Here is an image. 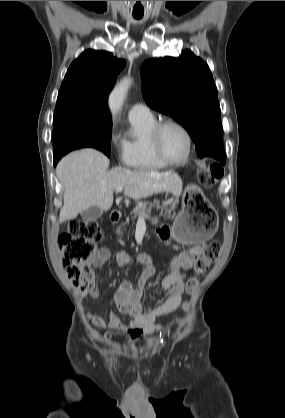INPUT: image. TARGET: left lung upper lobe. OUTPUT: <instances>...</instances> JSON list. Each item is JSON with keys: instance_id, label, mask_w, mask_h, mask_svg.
I'll return each instance as SVG.
<instances>
[{"instance_id": "left-lung-upper-lobe-1", "label": "left lung upper lobe", "mask_w": 285, "mask_h": 418, "mask_svg": "<svg viewBox=\"0 0 285 418\" xmlns=\"http://www.w3.org/2000/svg\"><path fill=\"white\" fill-rule=\"evenodd\" d=\"M141 75L146 103L186 128L199 157L224 151L217 88L201 58L185 50L179 57L150 59ZM219 160L225 163V152Z\"/></svg>"}]
</instances>
